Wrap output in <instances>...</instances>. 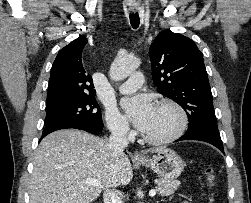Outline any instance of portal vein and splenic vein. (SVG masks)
<instances>
[{"mask_svg": "<svg viewBox=\"0 0 251 203\" xmlns=\"http://www.w3.org/2000/svg\"><path fill=\"white\" fill-rule=\"evenodd\" d=\"M86 183L89 184V185H93V186H98L99 185V181L96 180V179H87L86 180ZM104 188V187H103ZM156 195V189H152L150 192H149V196L150 197H154Z\"/></svg>", "mask_w": 251, "mask_h": 203, "instance_id": "1", "label": "portal vein and splenic vein"}]
</instances>
